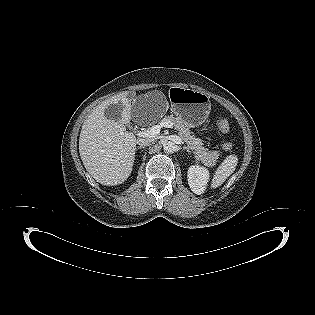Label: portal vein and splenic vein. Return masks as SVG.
<instances>
[{
  "label": "portal vein and splenic vein",
  "mask_w": 315,
  "mask_h": 315,
  "mask_svg": "<svg viewBox=\"0 0 315 315\" xmlns=\"http://www.w3.org/2000/svg\"><path fill=\"white\" fill-rule=\"evenodd\" d=\"M162 127L173 128V123L169 121H161L158 125L152 126L150 129L138 131L137 135L139 137L152 138L160 134V130Z\"/></svg>",
  "instance_id": "18ae733b"
}]
</instances>
